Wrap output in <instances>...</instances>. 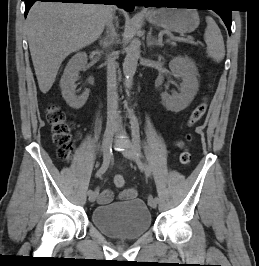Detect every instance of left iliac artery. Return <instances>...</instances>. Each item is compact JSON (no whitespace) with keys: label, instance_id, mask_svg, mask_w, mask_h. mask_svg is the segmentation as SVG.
<instances>
[{"label":"left iliac artery","instance_id":"left-iliac-artery-1","mask_svg":"<svg viewBox=\"0 0 259 266\" xmlns=\"http://www.w3.org/2000/svg\"><path fill=\"white\" fill-rule=\"evenodd\" d=\"M131 128H132V137L135 150L137 155L143 158V154L140 146V132H139V123L135 115H131ZM145 173L147 176L150 175L151 171L147 164H145ZM159 202V196H155V203Z\"/></svg>","mask_w":259,"mask_h":266}]
</instances>
